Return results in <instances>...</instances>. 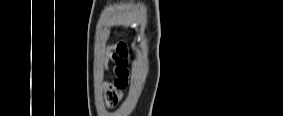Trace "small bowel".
Instances as JSON below:
<instances>
[{
	"instance_id": "small-bowel-1",
	"label": "small bowel",
	"mask_w": 283,
	"mask_h": 116,
	"mask_svg": "<svg viewBox=\"0 0 283 116\" xmlns=\"http://www.w3.org/2000/svg\"><path fill=\"white\" fill-rule=\"evenodd\" d=\"M115 49L116 54H113V60L115 62V73L118 76H127L129 75L128 70L126 69L128 63V54L126 48L122 44L116 46H108L107 50L110 53L111 50Z\"/></svg>"
}]
</instances>
